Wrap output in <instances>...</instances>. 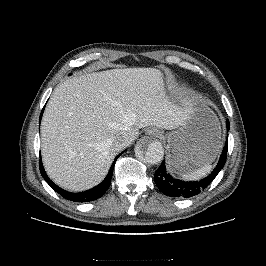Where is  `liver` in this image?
<instances>
[{"instance_id":"obj_1","label":"liver","mask_w":266,"mask_h":266,"mask_svg":"<svg viewBox=\"0 0 266 266\" xmlns=\"http://www.w3.org/2000/svg\"><path fill=\"white\" fill-rule=\"evenodd\" d=\"M163 74L155 68L112 69L69 78L54 90L41 123L45 170L59 186L84 191L99 184L117 152L111 140L139 129L179 128L188 107L165 96ZM128 144V145H129Z\"/></svg>"}]
</instances>
